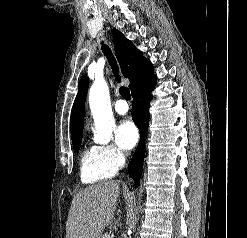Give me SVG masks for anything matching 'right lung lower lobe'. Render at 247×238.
Here are the masks:
<instances>
[{
    "label": "right lung lower lobe",
    "instance_id": "obj_1",
    "mask_svg": "<svg viewBox=\"0 0 247 238\" xmlns=\"http://www.w3.org/2000/svg\"><path fill=\"white\" fill-rule=\"evenodd\" d=\"M156 85V76L154 75L147 82L132 92L133 97V114L132 119L140 132V143L133 155L129 164V176L135 180L136 187H138L140 177L142 174L143 160L145 156V137L147 135V128L149 122V106L152 99L150 91Z\"/></svg>",
    "mask_w": 247,
    "mask_h": 238
}]
</instances>
